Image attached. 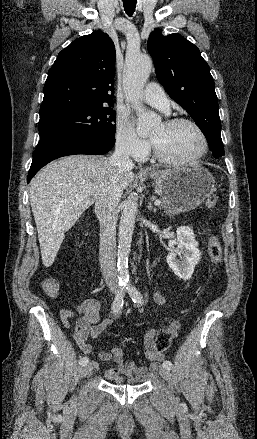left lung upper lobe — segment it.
I'll use <instances>...</instances> for the list:
<instances>
[{
  "label": "left lung upper lobe",
  "instance_id": "left-lung-upper-lobe-1",
  "mask_svg": "<svg viewBox=\"0 0 257 439\" xmlns=\"http://www.w3.org/2000/svg\"><path fill=\"white\" fill-rule=\"evenodd\" d=\"M147 49L156 76L169 96L179 103L202 130L213 156L224 155L215 83L197 46L179 34L153 31Z\"/></svg>",
  "mask_w": 257,
  "mask_h": 439
}]
</instances>
